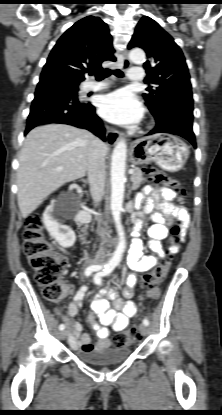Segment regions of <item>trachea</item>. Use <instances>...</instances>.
I'll return each instance as SVG.
<instances>
[{"mask_svg": "<svg viewBox=\"0 0 222 415\" xmlns=\"http://www.w3.org/2000/svg\"><path fill=\"white\" fill-rule=\"evenodd\" d=\"M111 74H114L115 76L122 78L124 76L123 72L119 69L117 70H111V69H104L95 74V77L98 81L103 80L110 76Z\"/></svg>", "mask_w": 222, "mask_h": 415, "instance_id": "trachea-1", "label": "trachea"}]
</instances>
